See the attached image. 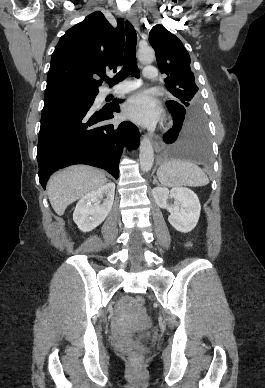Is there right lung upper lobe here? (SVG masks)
<instances>
[{"label":"right lung upper lobe","mask_w":265,"mask_h":388,"mask_svg":"<svg viewBox=\"0 0 265 388\" xmlns=\"http://www.w3.org/2000/svg\"><path fill=\"white\" fill-rule=\"evenodd\" d=\"M117 23L114 28L97 11L60 38L51 57L44 99L98 94L102 81L96 78L122 64L123 21Z\"/></svg>","instance_id":"right-lung-upper-lobe-1"}]
</instances>
